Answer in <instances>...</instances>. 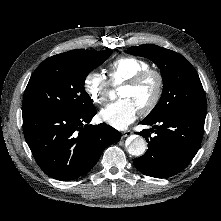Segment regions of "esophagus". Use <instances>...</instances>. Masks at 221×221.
Wrapping results in <instances>:
<instances>
[{
	"label": "esophagus",
	"instance_id": "1",
	"mask_svg": "<svg viewBox=\"0 0 221 221\" xmlns=\"http://www.w3.org/2000/svg\"><path fill=\"white\" fill-rule=\"evenodd\" d=\"M132 131H130V130H126V131H123L122 132V137H128V136H130V135H132Z\"/></svg>",
	"mask_w": 221,
	"mask_h": 221
}]
</instances>
